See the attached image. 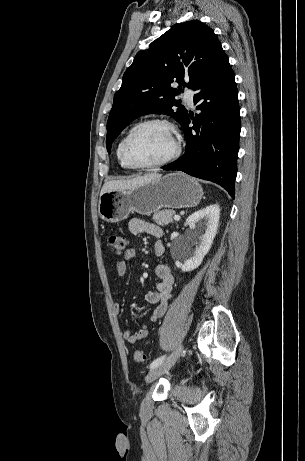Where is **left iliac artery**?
Returning <instances> with one entry per match:
<instances>
[{"label": "left iliac artery", "mask_w": 305, "mask_h": 461, "mask_svg": "<svg viewBox=\"0 0 305 461\" xmlns=\"http://www.w3.org/2000/svg\"><path fill=\"white\" fill-rule=\"evenodd\" d=\"M165 359V355L164 356H161L157 359H155L151 364H150V368L153 369L155 367H157L158 365H160Z\"/></svg>", "instance_id": "44dca946"}]
</instances>
